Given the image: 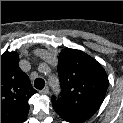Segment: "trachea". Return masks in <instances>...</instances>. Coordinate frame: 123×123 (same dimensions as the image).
Here are the masks:
<instances>
[{
	"label": "trachea",
	"instance_id": "1",
	"mask_svg": "<svg viewBox=\"0 0 123 123\" xmlns=\"http://www.w3.org/2000/svg\"><path fill=\"white\" fill-rule=\"evenodd\" d=\"M45 86V81L42 78H37L34 81V87L36 89L42 90Z\"/></svg>",
	"mask_w": 123,
	"mask_h": 123
}]
</instances>
